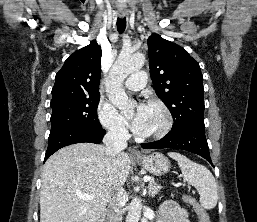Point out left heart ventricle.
<instances>
[{
	"instance_id": "left-heart-ventricle-1",
	"label": "left heart ventricle",
	"mask_w": 257,
	"mask_h": 222,
	"mask_svg": "<svg viewBox=\"0 0 257 222\" xmlns=\"http://www.w3.org/2000/svg\"><path fill=\"white\" fill-rule=\"evenodd\" d=\"M149 110H150V115H149L148 127H147L146 133H149L155 130L156 128H158L162 121V114L158 108L149 106Z\"/></svg>"
}]
</instances>
